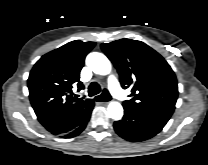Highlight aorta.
I'll use <instances>...</instances> for the list:
<instances>
[{
    "label": "aorta",
    "instance_id": "1",
    "mask_svg": "<svg viewBox=\"0 0 208 165\" xmlns=\"http://www.w3.org/2000/svg\"><path fill=\"white\" fill-rule=\"evenodd\" d=\"M86 64L96 74L108 75L112 66L109 59L102 53L92 52L86 57ZM108 114L113 120H120L123 116V107L117 101H112L108 105Z\"/></svg>",
    "mask_w": 208,
    "mask_h": 165
}]
</instances>
